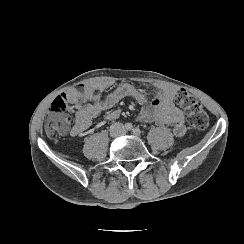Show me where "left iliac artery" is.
<instances>
[{"instance_id": "44dca946", "label": "left iliac artery", "mask_w": 244, "mask_h": 244, "mask_svg": "<svg viewBox=\"0 0 244 244\" xmlns=\"http://www.w3.org/2000/svg\"><path fill=\"white\" fill-rule=\"evenodd\" d=\"M140 133H141V130L139 128H134L133 129V134L140 135Z\"/></svg>"}]
</instances>
